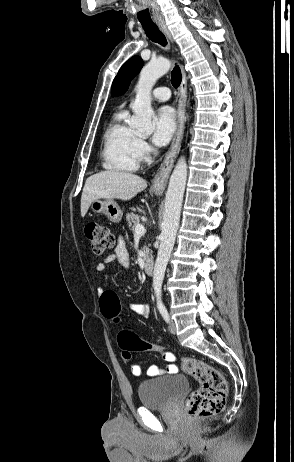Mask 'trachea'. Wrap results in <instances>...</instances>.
Returning a JSON list of instances; mask_svg holds the SVG:
<instances>
[{
	"mask_svg": "<svg viewBox=\"0 0 294 462\" xmlns=\"http://www.w3.org/2000/svg\"><path fill=\"white\" fill-rule=\"evenodd\" d=\"M147 37L162 46L167 45V41L163 33L158 29V26L153 22H141ZM182 81V74L178 65L171 72V83L177 88Z\"/></svg>",
	"mask_w": 294,
	"mask_h": 462,
	"instance_id": "obj_1",
	"label": "trachea"
}]
</instances>
